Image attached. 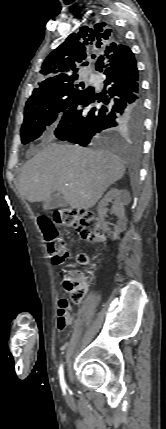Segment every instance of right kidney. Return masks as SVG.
Masks as SVG:
<instances>
[{
  "label": "right kidney",
  "mask_w": 166,
  "mask_h": 429,
  "mask_svg": "<svg viewBox=\"0 0 166 429\" xmlns=\"http://www.w3.org/2000/svg\"><path fill=\"white\" fill-rule=\"evenodd\" d=\"M130 199V193L127 190L111 188L98 204L97 211L99 220L104 229L109 230L105 222V217L108 211V203L113 202L111 211L118 218L114 231L111 232L113 240L118 239L119 234L126 228L127 219L124 212V205H127L130 202Z\"/></svg>",
  "instance_id": "ca27d5eb"
}]
</instances>
